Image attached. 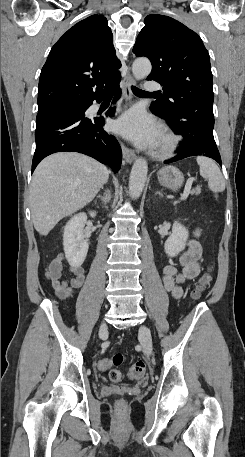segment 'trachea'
Listing matches in <instances>:
<instances>
[{
	"instance_id": "3493384b",
	"label": "trachea",
	"mask_w": 245,
	"mask_h": 457,
	"mask_svg": "<svg viewBox=\"0 0 245 457\" xmlns=\"http://www.w3.org/2000/svg\"><path fill=\"white\" fill-rule=\"evenodd\" d=\"M132 91L135 95L137 96H140L141 94H144V95H157L158 92H145V90H140V88H137V87H134L132 85Z\"/></svg>"
}]
</instances>
